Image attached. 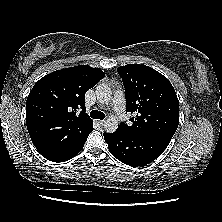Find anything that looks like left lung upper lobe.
I'll list each match as a JSON object with an SVG mask.
<instances>
[{
	"instance_id": "1",
	"label": "left lung upper lobe",
	"mask_w": 222,
	"mask_h": 222,
	"mask_svg": "<svg viewBox=\"0 0 222 222\" xmlns=\"http://www.w3.org/2000/svg\"><path fill=\"white\" fill-rule=\"evenodd\" d=\"M117 71L125 87L126 111L135 114L131 126L121 123L117 130L171 139L179 124V101L170 81L143 64L120 66Z\"/></svg>"
}]
</instances>
